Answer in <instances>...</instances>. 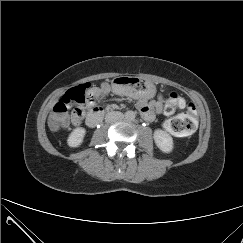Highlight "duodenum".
I'll use <instances>...</instances> for the list:
<instances>
[{"instance_id": "duodenum-1", "label": "duodenum", "mask_w": 243, "mask_h": 243, "mask_svg": "<svg viewBox=\"0 0 243 243\" xmlns=\"http://www.w3.org/2000/svg\"><path fill=\"white\" fill-rule=\"evenodd\" d=\"M105 115V111L102 108L93 109L87 116L86 123L90 127L98 125Z\"/></svg>"}]
</instances>
